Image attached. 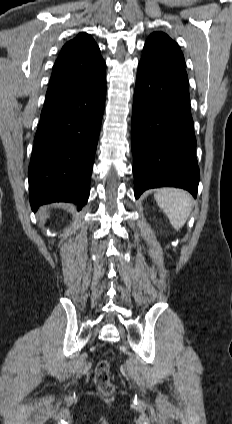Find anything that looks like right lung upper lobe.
Listing matches in <instances>:
<instances>
[{"label":"right lung upper lobe","instance_id":"right-lung-upper-lobe-1","mask_svg":"<svg viewBox=\"0 0 232 424\" xmlns=\"http://www.w3.org/2000/svg\"><path fill=\"white\" fill-rule=\"evenodd\" d=\"M105 79V62L99 47L87 33L67 42L54 66L46 96Z\"/></svg>","mask_w":232,"mask_h":424}]
</instances>
